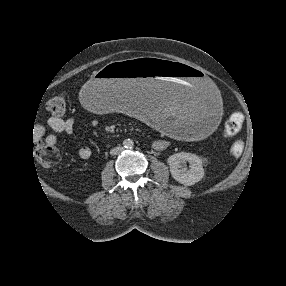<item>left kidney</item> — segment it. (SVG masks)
I'll list each match as a JSON object with an SVG mask.
<instances>
[{"instance_id": "5707ae66", "label": "left kidney", "mask_w": 286, "mask_h": 286, "mask_svg": "<svg viewBox=\"0 0 286 286\" xmlns=\"http://www.w3.org/2000/svg\"><path fill=\"white\" fill-rule=\"evenodd\" d=\"M172 177L185 186H191L204 177V169L201 159L191 153L180 152L171 155L167 160ZM189 163V169L185 163Z\"/></svg>"}]
</instances>
